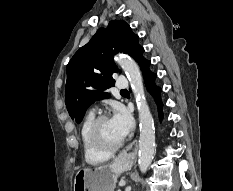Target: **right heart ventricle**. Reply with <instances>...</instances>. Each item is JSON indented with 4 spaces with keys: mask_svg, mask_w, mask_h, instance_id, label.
<instances>
[{
    "mask_svg": "<svg viewBox=\"0 0 233 191\" xmlns=\"http://www.w3.org/2000/svg\"><path fill=\"white\" fill-rule=\"evenodd\" d=\"M95 118L94 113L90 112L84 118L81 127H80V140L84 153V158L89 164H99L109 159L110 155L102 154L95 151L88 142V129Z\"/></svg>",
    "mask_w": 233,
    "mask_h": 191,
    "instance_id": "1",
    "label": "right heart ventricle"
}]
</instances>
